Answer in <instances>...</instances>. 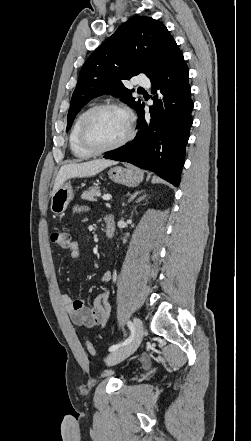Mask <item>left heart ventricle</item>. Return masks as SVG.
<instances>
[{
  "instance_id": "b2bd125f",
  "label": "left heart ventricle",
  "mask_w": 251,
  "mask_h": 441,
  "mask_svg": "<svg viewBox=\"0 0 251 441\" xmlns=\"http://www.w3.org/2000/svg\"><path fill=\"white\" fill-rule=\"evenodd\" d=\"M127 131L125 114L115 109H102L95 112L86 127L89 143L95 147L110 146L119 141Z\"/></svg>"
}]
</instances>
